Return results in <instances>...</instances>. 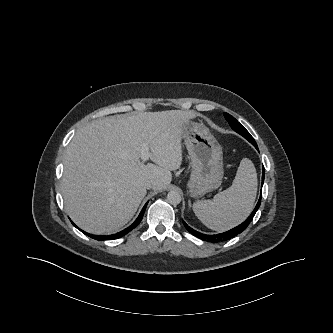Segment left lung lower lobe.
Instances as JSON below:
<instances>
[{
    "label": "left lung lower lobe",
    "instance_id": "1",
    "mask_svg": "<svg viewBox=\"0 0 333 333\" xmlns=\"http://www.w3.org/2000/svg\"><path fill=\"white\" fill-rule=\"evenodd\" d=\"M253 145L258 150L257 144L255 143ZM264 173H265V171H264V166H263V169H262V185H263V182H264ZM260 204H261V196H260V199H259L256 207L254 208L253 212L250 214V216L242 224H240L237 227H235V228H233V229H231V230H229L227 232H224V233L215 234V235H206V234H202V233H200V232L192 229L184 221H183V224L186 227V229L192 235H194V236L202 239L203 241L212 242V243L223 242V241H226V240H229V239L235 237L236 235L240 234L241 232H243L247 228V226L252 221L255 213L257 212Z\"/></svg>",
    "mask_w": 333,
    "mask_h": 333
}]
</instances>
